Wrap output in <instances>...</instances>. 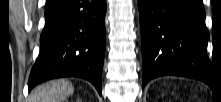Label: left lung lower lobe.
<instances>
[{"label":"left lung lower lobe","mask_w":221,"mask_h":102,"mask_svg":"<svg viewBox=\"0 0 221 102\" xmlns=\"http://www.w3.org/2000/svg\"><path fill=\"white\" fill-rule=\"evenodd\" d=\"M143 61V86L174 75L210 85L207 56L209 32L201 0H138Z\"/></svg>","instance_id":"0a47b994"}]
</instances>
